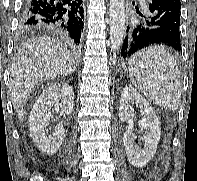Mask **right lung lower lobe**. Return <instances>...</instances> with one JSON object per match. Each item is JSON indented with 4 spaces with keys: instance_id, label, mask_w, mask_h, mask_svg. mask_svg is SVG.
<instances>
[{
    "instance_id": "98d812e1",
    "label": "right lung lower lobe",
    "mask_w": 197,
    "mask_h": 181,
    "mask_svg": "<svg viewBox=\"0 0 197 181\" xmlns=\"http://www.w3.org/2000/svg\"><path fill=\"white\" fill-rule=\"evenodd\" d=\"M20 25L58 32L79 45L84 28L83 0H23Z\"/></svg>"
}]
</instances>
